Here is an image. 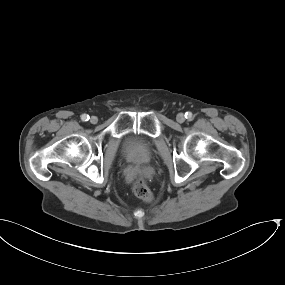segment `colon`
Returning <instances> with one entry per match:
<instances>
[{"mask_svg": "<svg viewBox=\"0 0 285 285\" xmlns=\"http://www.w3.org/2000/svg\"><path fill=\"white\" fill-rule=\"evenodd\" d=\"M132 192L136 197L144 202H150L153 199L152 191L148 183L143 179H137L132 185Z\"/></svg>", "mask_w": 285, "mask_h": 285, "instance_id": "colon-1", "label": "colon"}]
</instances>
